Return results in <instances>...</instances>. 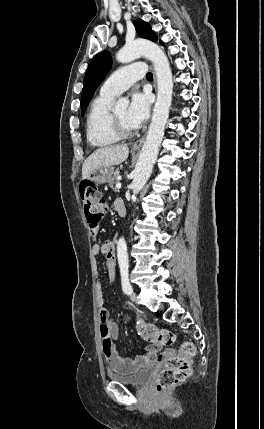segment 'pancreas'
Masks as SVG:
<instances>
[{"mask_svg":"<svg viewBox=\"0 0 264 429\" xmlns=\"http://www.w3.org/2000/svg\"><path fill=\"white\" fill-rule=\"evenodd\" d=\"M118 175H119V171L116 170L113 177L108 181L109 186L114 190H117L116 187H114V184L118 181L117 179Z\"/></svg>","mask_w":264,"mask_h":429,"instance_id":"1","label":"pancreas"}]
</instances>
